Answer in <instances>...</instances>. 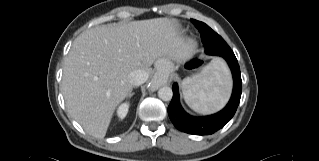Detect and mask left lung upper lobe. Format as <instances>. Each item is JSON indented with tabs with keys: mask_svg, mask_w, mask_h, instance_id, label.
<instances>
[{
	"mask_svg": "<svg viewBox=\"0 0 319 161\" xmlns=\"http://www.w3.org/2000/svg\"><path fill=\"white\" fill-rule=\"evenodd\" d=\"M191 21L201 34L202 42L207 54L221 56L225 52L232 51L223 38L216 32L212 31L209 35L205 34V32L208 33L207 30L210 28L205 23L193 19Z\"/></svg>",
	"mask_w": 319,
	"mask_h": 161,
	"instance_id": "1",
	"label": "left lung upper lobe"
}]
</instances>
